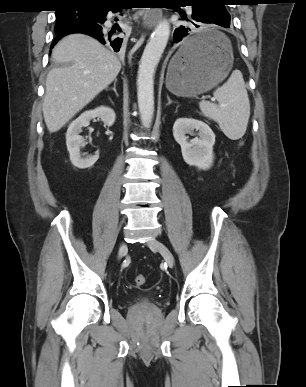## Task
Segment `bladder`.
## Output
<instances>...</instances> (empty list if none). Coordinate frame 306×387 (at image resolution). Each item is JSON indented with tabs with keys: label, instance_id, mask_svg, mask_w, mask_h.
Here are the masks:
<instances>
[{
	"label": "bladder",
	"instance_id": "obj_1",
	"mask_svg": "<svg viewBox=\"0 0 306 387\" xmlns=\"http://www.w3.org/2000/svg\"><path fill=\"white\" fill-rule=\"evenodd\" d=\"M155 306L156 303L153 298L147 295H138L131 303L132 308H153Z\"/></svg>",
	"mask_w": 306,
	"mask_h": 387
}]
</instances>
